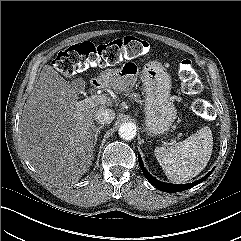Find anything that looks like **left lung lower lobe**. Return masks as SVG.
Here are the masks:
<instances>
[{
  "label": "left lung lower lobe",
  "mask_w": 241,
  "mask_h": 241,
  "mask_svg": "<svg viewBox=\"0 0 241 241\" xmlns=\"http://www.w3.org/2000/svg\"><path fill=\"white\" fill-rule=\"evenodd\" d=\"M138 160H139V166L142 169V172L144 174V176L147 178V180L153 185L155 186L157 189L164 191V192H180L183 190H187L189 188H192L193 186L198 185L199 183L203 182L204 180H206L211 173L213 172L214 169H212V171H210L207 175H205L204 177H202L201 179L193 182V183H189V184H180V185H176V184H167L164 182H161L157 179H155L153 176H151L146 169L144 168L143 162L141 160V157L138 156Z\"/></svg>",
  "instance_id": "obj_1"
}]
</instances>
